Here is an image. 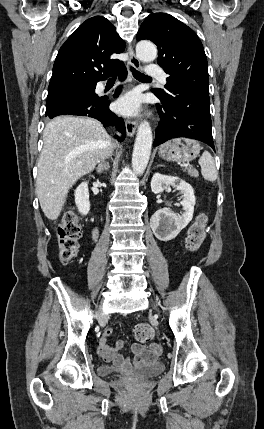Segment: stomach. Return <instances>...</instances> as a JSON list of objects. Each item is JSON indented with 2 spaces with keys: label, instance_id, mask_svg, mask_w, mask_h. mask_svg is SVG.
Instances as JSON below:
<instances>
[{
  "label": "stomach",
  "instance_id": "1",
  "mask_svg": "<svg viewBox=\"0 0 264 429\" xmlns=\"http://www.w3.org/2000/svg\"><path fill=\"white\" fill-rule=\"evenodd\" d=\"M201 150L198 141L190 138H175L160 145L159 156L167 161L189 162L195 159Z\"/></svg>",
  "mask_w": 264,
  "mask_h": 429
}]
</instances>
